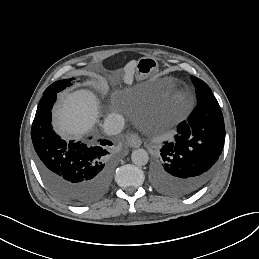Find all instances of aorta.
Instances as JSON below:
<instances>
[{"instance_id": "762f6f07", "label": "aorta", "mask_w": 259, "mask_h": 259, "mask_svg": "<svg viewBox=\"0 0 259 259\" xmlns=\"http://www.w3.org/2000/svg\"><path fill=\"white\" fill-rule=\"evenodd\" d=\"M131 159L136 166H144L149 161V155L144 149H136L132 152Z\"/></svg>"}]
</instances>
